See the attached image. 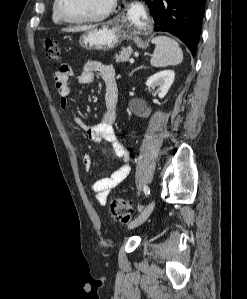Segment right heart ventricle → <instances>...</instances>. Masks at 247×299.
Listing matches in <instances>:
<instances>
[{
    "label": "right heart ventricle",
    "mask_w": 247,
    "mask_h": 299,
    "mask_svg": "<svg viewBox=\"0 0 247 299\" xmlns=\"http://www.w3.org/2000/svg\"><path fill=\"white\" fill-rule=\"evenodd\" d=\"M52 21L55 24H62L63 23V21L61 20V18L58 16V14L56 12L55 2L53 3V6H52Z\"/></svg>",
    "instance_id": "right-heart-ventricle-1"
}]
</instances>
